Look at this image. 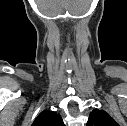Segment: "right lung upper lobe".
Returning <instances> with one entry per match:
<instances>
[{"label": "right lung upper lobe", "mask_w": 127, "mask_h": 126, "mask_svg": "<svg viewBox=\"0 0 127 126\" xmlns=\"http://www.w3.org/2000/svg\"><path fill=\"white\" fill-rule=\"evenodd\" d=\"M32 126H64V123L56 112L44 110L36 117Z\"/></svg>", "instance_id": "cb5924a9"}]
</instances>
